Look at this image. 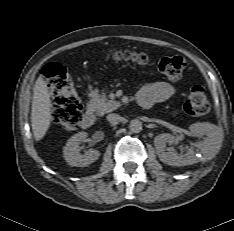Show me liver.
<instances>
[{
    "mask_svg": "<svg viewBox=\"0 0 234 231\" xmlns=\"http://www.w3.org/2000/svg\"><path fill=\"white\" fill-rule=\"evenodd\" d=\"M52 118L50 93L46 82L40 75L35 82L31 110V126L36 141H40L45 136Z\"/></svg>",
    "mask_w": 234,
    "mask_h": 231,
    "instance_id": "6515ba94",
    "label": "liver"
}]
</instances>
